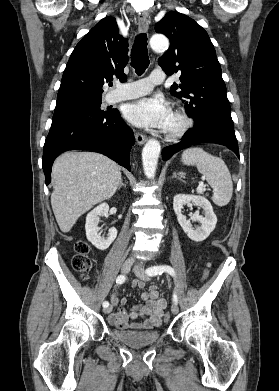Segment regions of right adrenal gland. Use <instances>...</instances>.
I'll return each mask as SVG.
<instances>
[{
    "label": "right adrenal gland",
    "instance_id": "1",
    "mask_svg": "<svg viewBox=\"0 0 279 391\" xmlns=\"http://www.w3.org/2000/svg\"><path fill=\"white\" fill-rule=\"evenodd\" d=\"M122 186L126 187V185L123 183V180L121 179L120 184H119V186H118V190H119Z\"/></svg>",
    "mask_w": 279,
    "mask_h": 391
}]
</instances>
